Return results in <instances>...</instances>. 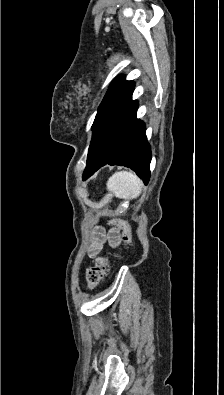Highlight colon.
Masks as SVG:
<instances>
[{"label":"colon","instance_id":"1","mask_svg":"<svg viewBox=\"0 0 224 395\" xmlns=\"http://www.w3.org/2000/svg\"><path fill=\"white\" fill-rule=\"evenodd\" d=\"M118 225L123 228V234L121 237L122 244L126 245L131 241V231L128 225L124 221H118ZM121 249L116 253H106L96 257L94 264L86 270V280L88 289H95L100 281L103 279L105 272L109 266L111 259L114 256L120 255Z\"/></svg>","mask_w":224,"mask_h":395}]
</instances>
